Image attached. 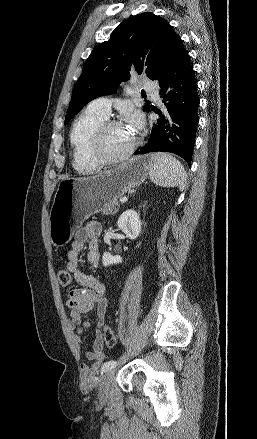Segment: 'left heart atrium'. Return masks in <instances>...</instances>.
<instances>
[{
	"instance_id": "39dd6f15",
	"label": "left heart atrium",
	"mask_w": 257,
	"mask_h": 439,
	"mask_svg": "<svg viewBox=\"0 0 257 439\" xmlns=\"http://www.w3.org/2000/svg\"><path fill=\"white\" fill-rule=\"evenodd\" d=\"M127 120L130 126L139 128L143 123L142 115L137 111H130L127 113Z\"/></svg>"
}]
</instances>
